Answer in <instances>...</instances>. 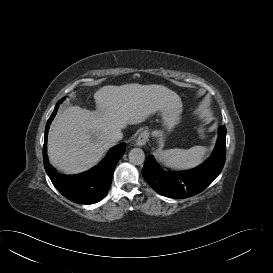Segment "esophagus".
I'll return each mask as SVG.
<instances>
[{
  "label": "esophagus",
  "mask_w": 273,
  "mask_h": 273,
  "mask_svg": "<svg viewBox=\"0 0 273 273\" xmlns=\"http://www.w3.org/2000/svg\"><path fill=\"white\" fill-rule=\"evenodd\" d=\"M149 139V132L148 131H143L140 133V135L138 136L137 140H136V145L137 146H144L146 144V142Z\"/></svg>",
  "instance_id": "esophagus-1"
}]
</instances>
